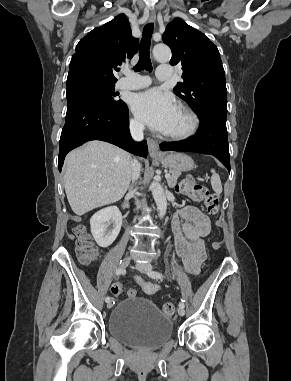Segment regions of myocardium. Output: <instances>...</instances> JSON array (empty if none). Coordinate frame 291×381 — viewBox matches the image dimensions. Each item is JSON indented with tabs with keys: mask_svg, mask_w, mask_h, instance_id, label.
Returning <instances> with one entry per match:
<instances>
[{
	"mask_svg": "<svg viewBox=\"0 0 291 381\" xmlns=\"http://www.w3.org/2000/svg\"><path fill=\"white\" fill-rule=\"evenodd\" d=\"M179 109L182 110L187 117L189 118V126L186 130L179 132V133H165L164 132V137L174 140V141H182L191 138L194 136L200 126V118L197 115V113L188 105L181 104L179 105Z\"/></svg>",
	"mask_w": 291,
	"mask_h": 381,
	"instance_id": "myocardium-1",
	"label": "myocardium"
}]
</instances>
